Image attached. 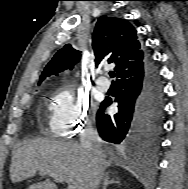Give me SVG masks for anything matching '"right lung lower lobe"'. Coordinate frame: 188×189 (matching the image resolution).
<instances>
[{"instance_id":"obj_1","label":"right lung lower lobe","mask_w":188,"mask_h":189,"mask_svg":"<svg viewBox=\"0 0 188 189\" xmlns=\"http://www.w3.org/2000/svg\"><path fill=\"white\" fill-rule=\"evenodd\" d=\"M119 112L103 113L112 103L105 99L97 113V129L102 140L129 147L147 155L158 141L163 122L162 83L156 66L147 56L143 69L117 82Z\"/></svg>"}]
</instances>
